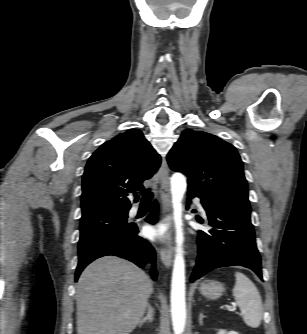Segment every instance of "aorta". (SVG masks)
Masks as SVG:
<instances>
[{"label":"aorta","mask_w":307,"mask_h":334,"mask_svg":"<svg viewBox=\"0 0 307 334\" xmlns=\"http://www.w3.org/2000/svg\"><path fill=\"white\" fill-rule=\"evenodd\" d=\"M186 179L180 173L171 177V195L176 228V254L171 280V319L174 334H182L186 324L185 261L183 257L182 199Z\"/></svg>","instance_id":"obj_1"}]
</instances>
